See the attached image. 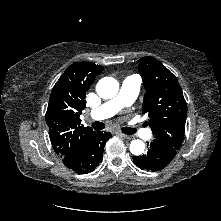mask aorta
Segmentation results:
<instances>
[{
  "label": "aorta",
  "instance_id": "762f6f07",
  "mask_svg": "<svg viewBox=\"0 0 221 221\" xmlns=\"http://www.w3.org/2000/svg\"><path fill=\"white\" fill-rule=\"evenodd\" d=\"M97 94L103 99L115 97L119 91V83L113 77H104L99 80L96 86ZM145 144L141 140H133L130 143V152L134 155H140L144 152Z\"/></svg>",
  "mask_w": 221,
  "mask_h": 221
}]
</instances>
